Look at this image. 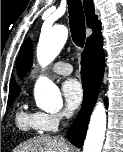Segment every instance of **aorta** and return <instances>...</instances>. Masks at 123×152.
Wrapping results in <instances>:
<instances>
[{
  "mask_svg": "<svg viewBox=\"0 0 123 152\" xmlns=\"http://www.w3.org/2000/svg\"><path fill=\"white\" fill-rule=\"evenodd\" d=\"M67 37L68 29L64 25L42 29L37 46V60L42 67L58 56ZM34 96L37 107L46 112H57L62 108L63 101L58 87L45 77L37 81ZM105 131L106 110L103 103L98 102L90 118L83 152H101Z\"/></svg>",
  "mask_w": 123,
  "mask_h": 152,
  "instance_id": "aorta-1",
  "label": "aorta"
}]
</instances>
